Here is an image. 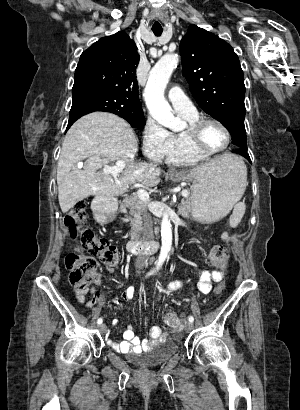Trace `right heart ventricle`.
Returning a JSON list of instances; mask_svg holds the SVG:
<instances>
[{
    "label": "right heart ventricle",
    "instance_id": "right-heart-ventricle-1",
    "mask_svg": "<svg viewBox=\"0 0 300 410\" xmlns=\"http://www.w3.org/2000/svg\"><path fill=\"white\" fill-rule=\"evenodd\" d=\"M178 113L187 124L195 121L199 117L197 112ZM207 157L208 156L202 155L193 149L185 129L180 132L169 133L168 148L162 159H165L168 163L178 165H194L204 161Z\"/></svg>",
    "mask_w": 300,
    "mask_h": 410
}]
</instances>
